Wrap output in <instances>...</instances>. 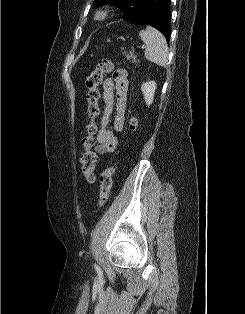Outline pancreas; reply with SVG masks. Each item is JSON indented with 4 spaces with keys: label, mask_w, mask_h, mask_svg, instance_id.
<instances>
[{
    "label": "pancreas",
    "mask_w": 245,
    "mask_h": 314,
    "mask_svg": "<svg viewBox=\"0 0 245 314\" xmlns=\"http://www.w3.org/2000/svg\"><path fill=\"white\" fill-rule=\"evenodd\" d=\"M126 57L128 60L132 59V61L135 62L136 56L133 54V52H130Z\"/></svg>",
    "instance_id": "obj_1"
}]
</instances>
